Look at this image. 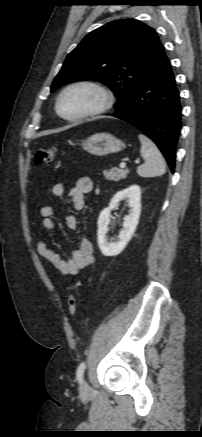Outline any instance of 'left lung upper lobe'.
<instances>
[{
	"label": "left lung upper lobe",
	"mask_w": 202,
	"mask_h": 437,
	"mask_svg": "<svg viewBox=\"0 0 202 437\" xmlns=\"http://www.w3.org/2000/svg\"><path fill=\"white\" fill-rule=\"evenodd\" d=\"M157 33L136 19L112 21L89 33L67 56L51 92L80 80L96 79L117 97V107L145 83L166 60Z\"/></svg>",
	"instance_id": "left-lung-upper-lobe-1"
}]
</instances>
